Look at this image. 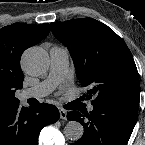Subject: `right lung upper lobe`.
Masks as SVG:
<instances>
[{
    "mask_svg": "<svg viewBox=\"0 0 145 145\" xmlns=\"http://www.w3.org/2000/svg\"><path fill=\"white\" fill-rule=\"evenodd\" d=\"M50 32L49 24L14 23L0 29V108L18 103L15 91L22 87V53Z\"/></svg>",
    "mask_w": 145,
    "mask_h": 145,
    "instance_id": "1",
    "label": "right lung upper lobe"
}]
</instances>
